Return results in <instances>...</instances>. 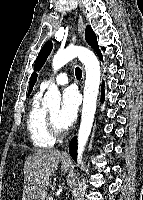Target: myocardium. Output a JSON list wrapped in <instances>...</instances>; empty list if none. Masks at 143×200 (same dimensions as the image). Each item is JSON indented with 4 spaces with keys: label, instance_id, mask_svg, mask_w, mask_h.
Listing matches in <instances>:
<instances>
[{
    "label": "myocardium",
    "instance_id": "myocardium-1",
    "mask_svg": "<svg viewBox=\"0 0 143 200\" xmlns=\"http://www.w3.org/2000/svg\"><path fill=\"white\" fill-rule=\"evenodd\" d=\"M46 126H47V130H48L49 134L54 139L62 138L66 133V131L64 129L60 130L56 127L49 111H47V113H46Z\"/></svg>",
    "mask_w": 143,
    "mask_h": 200
}]
</instances>
